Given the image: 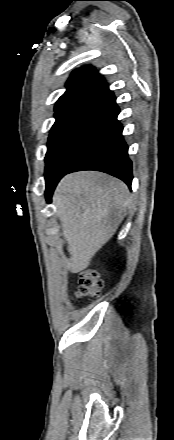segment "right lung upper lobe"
I'll return each mask as SVG.
<instances>
[{"label":"right lung upper lobe","instance_id":"right-lung-upper-lobe-1","mask_svg":"<svg viewBox=\"0 0 174 440\" xmlns=\"http://www.w3.org/2000/svg\"><path fill=\"white\" fill-rule=\"evenodd\" d=\"M67 91L58 99L59 112L91 98H99L109 87L94 67L86 66L74 71L66 83Z\"/></svg>","mask_w":174,"mask_h":440}]
</instances>
